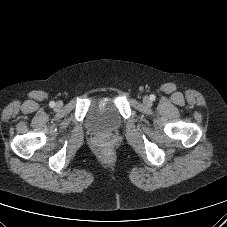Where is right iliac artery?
Masks as SVG:
<instances>
[{
	"label": "right iliac artery",
	"instance_id": "obj_1",
	"mask_svg": "<svg viewBox=\"0 0 227 227\" xmlns=\"http://www.w3.org/2000/svg\"><path fill=\"white\" fill-rule=\"evenodd\" d=\"M49 106H50V107H54V106H55V102H54V101H51V102L49 103Z\"/></svg>",
	"mask_w": 227,
	"mask_h": 227
}]
</instances>
